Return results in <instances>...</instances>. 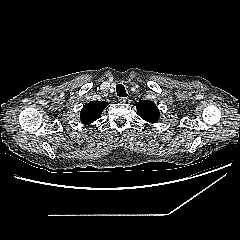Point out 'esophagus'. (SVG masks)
<instances>
[{"label":"esophagus","instance_id":"1","mask_svg":"<svg viewBox=\"0 0 240 240\" xmlns=\"http://www.w3.org/2000/svg\"><path fill=\"white\" fill-rule=\"evenodd\" d=\"M118 101H119L120 103H125V102H127V98H126V97H119V98H118Z\"/></svg>","mask_w":240,"mask_h":240}]
</instances>
